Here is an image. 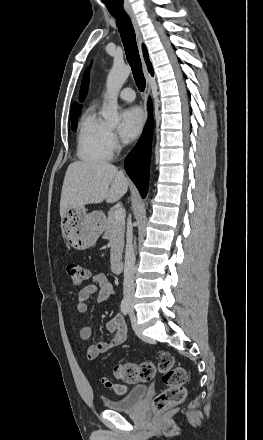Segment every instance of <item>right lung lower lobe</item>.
<instances>
[{"label": "right lung lower lobe", "instance_id": "1", "mask_svg": "<svg viewBox=\"0 0 263 440\" xmlns=\"http://www.w3.org/2000/svg\"><path fill=\"white\" fill-rule=\"evenodd\" d=\"M151 102L148 103L149 119L142 137L134 149L125 159V169L133 183L138 188L141 196L145 198L148 190L149 165L151 157V142L153 120L151 115Z\"/></svg>", "mask_w": 263, "mask_h": 440}]
</instances>
